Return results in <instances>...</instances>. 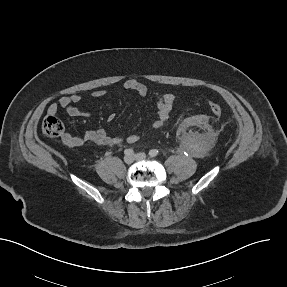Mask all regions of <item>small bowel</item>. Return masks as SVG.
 I'll list each match as a JSON object with an SVG mask.
<instances>
[{"instance_id": "small-bowel-1", "label": "small bowel", "mask_w": 287, "mask_h": 287, "mask_svg": "<svg viewBox=\"0 0 287 287\" xmlns=\"http://www.w3.org/2000/svg\"><path fill=\"white\" fill-rule=\"evenodd\" d=\"M124 88L128 91L137 93L140 96H145L148 93V87L138 82L135 79H127L123 84ZM105 94L104 90H96L91 93V97L98 98ZM157 98V117L153 123V127L160 128L169 119L170 114L175 105V95L173 93H156ZM83 101V97L79 94L70 96H63L58 103H52L48 107L49 114H56L59 109L66 111L72 117H87L89 112L76 107V104ZM138 135H128L126 137H118L110 135L105 129H98L86 132L82 136H76L69 132L64 133L62 136L63 142L70 147H80L86 143H94L100 146H112L121 143H135L139 140Z\"/></svg>"}]
</instances>
